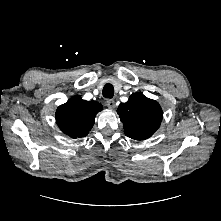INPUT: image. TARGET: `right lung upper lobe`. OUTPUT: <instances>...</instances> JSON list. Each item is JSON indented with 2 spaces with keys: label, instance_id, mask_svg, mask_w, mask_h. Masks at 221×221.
Returning <instances> with one entry per match:
<instances>
[{
  "label": "right lung upper lobe",
  "instance_id": "cb5924a9",
  "mask_svg": "<svg viewBox=\"0 0 221 221\" xmlns=\"http://www.w3.org/2000/svg\"><path fill=\"white\" fill-rule=\"evenodd\" d=\"M101 110L100 103L75 96L58 107L56 122L66 135L74 139L84 137L93 127L96 114Z\"/></svg>",
  "mask_w": 221,
  "mask_h": 221
}]
</instances>
